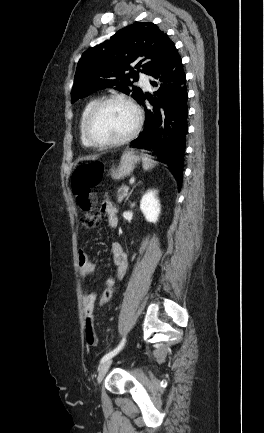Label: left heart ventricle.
Wrapping results in <instances>:
<instances>
[{"mask_svg":"<svg viewBox=\"0 0 264 433\" xmlns=\"http://www.w3.org/2000/svg\"><path fill=\"white\" fill-rule=\"evenodd\" d=\"M135 115L125 104L110 103L93 117L89 131L98 141L116 140L125 136L133 127Z\"/></svg>","mask_w":264,"mask_h":433,"instance_id":"1","label":"left heart ventricle"}]
</instances>
